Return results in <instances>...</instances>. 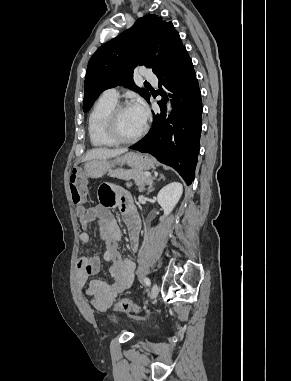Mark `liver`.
Returning <instances> with one entry per match:
<instances>
[{"instance_id": "obj_1", "label": "liver", "mask_w": 291, "mask_h": 381, "mask_svg": "<svg viewBox=\"0 0 291 381\" xmlns=\"http://www.w3.org/2000/svg\"><path fill=\"white\" fill-rule=\"evenodd\" d=\"M125 152H127V149L95 148L87 152L83 161L107 160L113 157H118Z\"/></svg>"}]
</instances>
